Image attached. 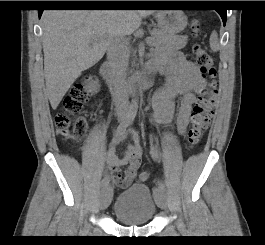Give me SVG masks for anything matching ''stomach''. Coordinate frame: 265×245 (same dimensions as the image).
Wrapping results in <instances>:
<instances>
[{
  "mask_svg": "<svg viewBox=\"0 0 265 245\" xmlns=\"http://www.w3.org/2000/svg\"><path fill=\"white\" fill-rule=\"evenodd\" d=\"M158 26L168 34H176L187 26V17L181 10H163L155 15Z\"/></svg>",
  "mask_w": 265,
  "mask_h": 245,
  "instance_id": "obj_1",
  "label": "stomach"
}]
</instances>
